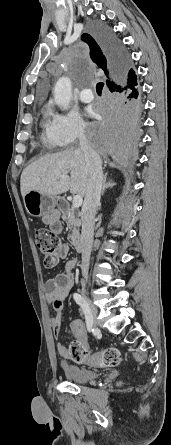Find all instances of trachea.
<instances>
[{"label":"trachea","instance_id":"3493384b","mask_svg":"<svg viewBox=\"0 0 171 445\" xmlns=\"http://www.w3.org/2000/svg\"><path fill=\"white\" fill-rule=\"evenodd\" d=\"M103 87H104V83H103V82H99V83L96 85V92H97L99 95H101Z\"/></svg>","mask_w":171,"mask_h":445}]
</instances>
